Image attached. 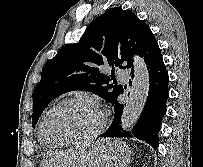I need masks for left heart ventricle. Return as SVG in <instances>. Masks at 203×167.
<instances>
[{
	"instance_id": "left-heart-ventricle-1",
	"label": "left heart ventricle",
	"mask_w": 203,
	"mask_h": 167,
	"mask_svg": "<svg viewBox=\"0 0 203 167\" xmlns=\"http://www.w3.org/2000/svg\"><path fill=\"white\" fill-rule=\"evenodd\" d=\"M99 124L100 117L92 107L75 102L64 105L47 118L45 133L51 140H71L90 134Z\"/></svg>"
}]
</instances>
